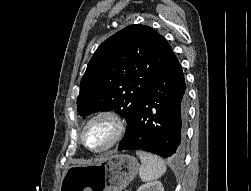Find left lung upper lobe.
<instances>
[{
	"mask_svg": "<svg viewBox=\"0 0 251 191\" xmlns=\"http://www.w3.org/2000/svg\"><path fill=\"white\" fill-rule=\"evenodd\" d=\"M172 52L163 36L141 24L108 38L95 51L81 79L79 115L114 110L125 117L128 129Z\"/></svg>",
	"mask_w": 251,
	"mask_h": 191,
	"instance_id": "left-lung-upper-lobe-1",
	"label": "left lung upper lobe"
}]
</instances>
